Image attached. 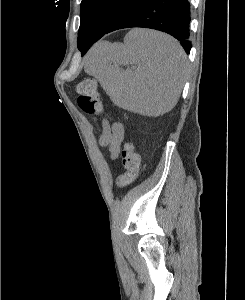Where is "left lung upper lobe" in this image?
Returning a JSON list of instances; mask_svg holds the SVG:
<instances>
[{"instance_id":"1","label":"left lung upper lobe","mask_w":245,"mask_h":300,"mask_svg":"<svg viewBox=\"0 0 245 300\" xmlns=\"http://www.w3.org/2000/svg\"><path fill=\"white\" fill-rule=\"evenodd\" d=\"M136 0H82L78 48L86 47L90 36L103 34L113 21Z\"/></svg>"}]
</instances>
